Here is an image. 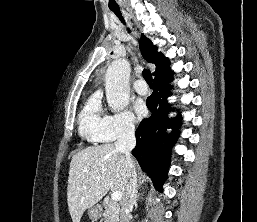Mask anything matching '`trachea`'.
Here are the masks:
<instances>
[{
    "label": "trachea",
    "mask_w": 257,
    "mask_h": 222,
    "mask_svg": "<svg viewBox=\"0 0 257 222\" xmlns=\"http://www.w3.org/2000/svg\"><path fill=\"white\" fill-rule=\"evenodd\" d=\"M112 11H113V12L115 13V15L121 20V22L125 24V20H124V18L122 17L120 10L116 9V10H112ZM142 73H143V77H144L145 81L147 82V84H148L150 87H152V86H153V79H152V74H151V72H150L149 70H143Z\"/></svg>",
    "instance_id": "1"
}]
</instances>
